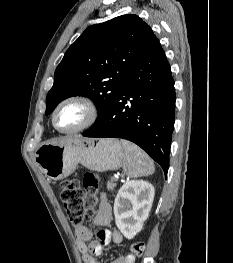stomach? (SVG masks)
Returning a JSON list of instances; mask_svg holds the SVG:
<instances>
[{
    "instance_id": "stomach-1",
    "label": "stomach",
    "mask_w": 233,
    "mask_h": 263,
    "mask_svg": "<svg viewBox=\"0 0 233 263\" xmlns=\"http://www.w3.org/2000/svg\"><path fill=\"white\" fill-rule=\"evenodd\" d=\"M35 156L37 167L57 181L73 173L79 163L98 172L117 170L122 165L125 150L117 139L65 137L42 144Z\"/></svg>"
}]
</instances>
